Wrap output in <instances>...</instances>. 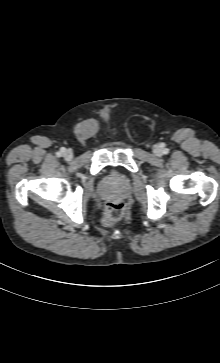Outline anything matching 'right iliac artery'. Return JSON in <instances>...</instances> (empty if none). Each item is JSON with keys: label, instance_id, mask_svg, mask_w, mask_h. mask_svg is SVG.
Instances as JSON below:
<instances>
[{"label": "right iliac artery", "instance_id": "obj_1", "mask_svg": "<svg viewBox=\"0 0 220 363\" xmlns=\"http://www.w3.org/2000/svg\"><path fill=\"white\" fill-rule=\"evenodd\" d=\"M65 151V149L63 148V149H61V152H64ZM61 152H58L57 153V156H60L61 155Z\"/></svg>", "mask_w": 220, "mask_h": 363}]
</instances>
